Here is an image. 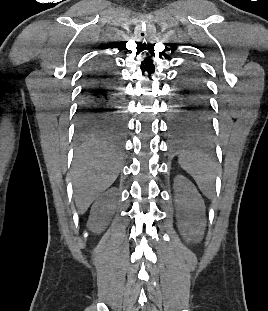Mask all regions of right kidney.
<instances>
[{"instance_id":"right-kidney-1","label":"right kidney","mask_w":268,"mask_h":311,"mask_svg":"<svg viewBox=\"0 0 268 311\" xmlns=\"http://www.w3.org/2000/svg\"><path fill=\"white\" fill-rule=\"evenodd\" d=\"M117 188L103 193L92 205L87 226L93 232L100 233L108 225L117 207Z\"/></svg>"}]
</instances>
